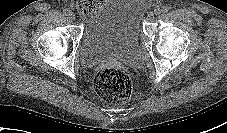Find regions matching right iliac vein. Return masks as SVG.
I'll return each instance as SVG.
<instances>
[{
	"instance_id": "obj_1",
	"label": "right iliac vein",
	"mask_w": 227,
	"mask_h": 133,
	"mask_svg": "<svg viewBox=\"0 0 227 133\" xmlns=\"http://www.w3.org/2000/svg\"><path fill=\"white\" fill-rule=\"evenodd\" d=\"M69 17L71 20H75V14L73 12H70Z\"/></svg>"
}]
</instances>
